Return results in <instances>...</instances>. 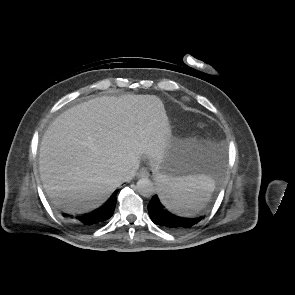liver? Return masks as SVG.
<instances>
[{
  "label": "liver",
  "instance_id": "1",
  "mask_svg": "<svg viewBox=\"0 0 295 295\" xmlns=\"http://www.w3.org/2000/svg\"><path fill=\"white\" fill-rule=\"evenodd\" d=\"M164 105L154 95L102 96L59 115L43 135L39 171L48 197L69 213L99 207L138 168L170 148Z\"/></svg>",
  "mask_w": 295,
  "mask_h": 295
}]
</instances>
